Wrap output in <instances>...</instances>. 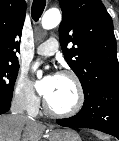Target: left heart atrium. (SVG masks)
I'll use <instances>...</instances> for the list:
<instances>
[{"label": "left heart atrium", "instance_id": "1", "mask_svg": "<svg viewBox=\"0 0 119 141\" xmlns=\"http://www.w3.org/2000/svg\"><path fill=\"white\" fill-rule=\"evenodd\" d=\"M57 77L58 75L56 73L51 72L41 81L37 82L38 92L44 97H47L51 93L56 83Z\"/></svg>", "mask_w": 119, "mask_h": 141}]
</instances>
